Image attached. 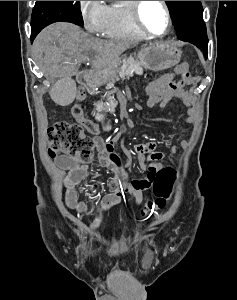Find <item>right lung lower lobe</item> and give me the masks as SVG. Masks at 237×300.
<instances>
[{
	"instance_id": "obj_1",
	"label": "right lung lower lobe",
	"mask_w": 237,
	"mask_h": 300,
	"mask_svg": "<svg viewBox=\"0 0 237 300\" xmlns=\"http://www.w3.org/2000/svg\"><path fill=\"white\" fill-rule=\"evenodd\" d=\"M36 37L33 33H31V40H33Z\"/></svg>"
}]
</instances>
